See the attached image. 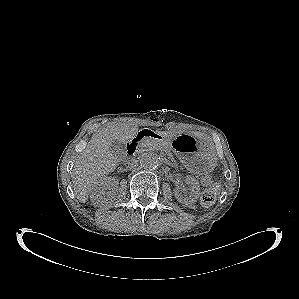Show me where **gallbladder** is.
I'll return each mask as SVG.
<instances>
[{"label":"gallbladder","mask_w":299,"mask_h":299,"mask_svg":"<svg viewBox=\"0 0 299 299\" xmlns=\"http://www.w3.org/2000/svg\"><path fill=\"white\" fill-rule=\"evenodd\" d=\"M125 149H126L125 144L122 143L121 141H118V140L113 141L112 144H111V146H110V150L117 157L124 156Z\"/></svg>","instance_id":"bac80fb5"}]
</instances>
